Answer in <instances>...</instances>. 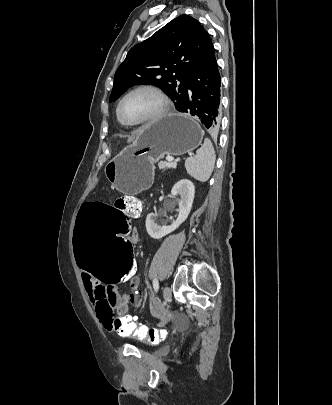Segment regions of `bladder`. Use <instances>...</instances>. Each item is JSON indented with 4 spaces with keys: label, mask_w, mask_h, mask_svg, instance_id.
Instances as JSON below:
<instances>
[{
    "label": "bladder",
    "mask_w": 332,
    "mask_h": 405,
    "mask_svg": "<svg viewBox=\"0 0 332 405\" xmlns=\"http://www.w3.org/2000/svg\"><path fill=\"white\" fill-rule=\"evenodd\" d=\"M167 351H168V350H167L166 347H162V348L156 350V351L154 352V354H155L156 356H164L165 354H167Z\"/></svg>",
    "instance_id": "obj_1"
}]
</instances>
